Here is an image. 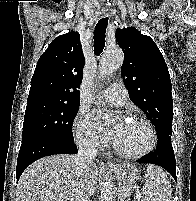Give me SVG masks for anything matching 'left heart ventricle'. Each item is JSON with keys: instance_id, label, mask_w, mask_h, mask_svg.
<instances>
[{"instance_id": "left-heart-ventricle-1", "label": "left heart ventricle", "mask_w": 196, "mask_h": 201, "mask_svg": "<svg viewBox=\"0 0 196 201\" xmlns=\"http://www.w3.org/2000/svg\"><path fill=\"white\" fill-rule=\"evenodd\" d=\"M148 140L149 133L146 126L131 120L123 122L114 138V143L127 153H136L146 147Z\"/></svg>"}]
</instances>
